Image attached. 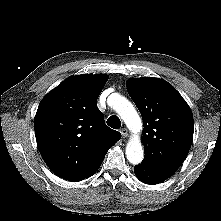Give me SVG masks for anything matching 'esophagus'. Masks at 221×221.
Masks as SVG:
<instances>
[{
	"mask_svg": "<svg viewBox=\"0 0 221 221\" xmlns=\"http://www.w3.org/2000/svg\"><path fill=\"white\" fill-rule=\"evenodd\" d=\"M120 133L122 135V138L128 137V130L126 128L120 129Z\"/></svg>",
	"mask_w": 221,
	"mask_h": 221,
	"instance_id": "1",
	"label": "esophagus"
}]
</instances>
